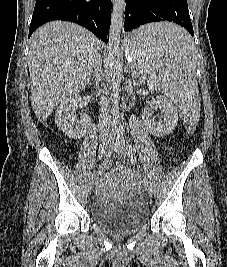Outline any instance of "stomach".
Instances as JSON below:
<instances>
[{"label":"stomach","instance_id":"obj_1","mask_svg":"<svg viewBox=\"0 0 227 267\" xmlns=\"http://www.w3.org/2000/svg\"><path fill=\"white\" fill-rule=\"evenodd\" d=\"M127 38H130V37L128 36ZM126 57H127V59H128L129 61L132 62L131 55H127V50H126ZM133 66L139 69V67H138V63H133Z\"/></svg>","mask_w":227,"mask_h":267}]
</instances>
